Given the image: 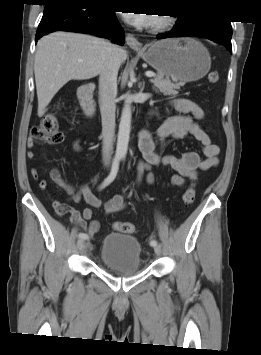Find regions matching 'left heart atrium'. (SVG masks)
<instances>
[{
  "instance_id": "39dd6f15",
  "label": "left heart atrium",
  "mask_w": 261,
  "mask_h": 355,
  "mask_svg": "<svg viewBox=\"0 0 261 355\" xmlns=\"http://www.w3.org/2000/svg\"><path fill=\"white\" fill-rule=\"evenodd\" d=\"M125 21L137 27H148L156 22L155 15L151 13H122Z\"/></svg>"
}]
</instances>
